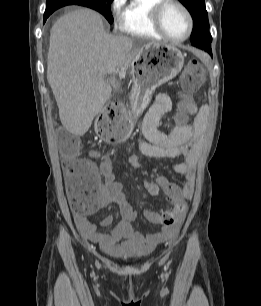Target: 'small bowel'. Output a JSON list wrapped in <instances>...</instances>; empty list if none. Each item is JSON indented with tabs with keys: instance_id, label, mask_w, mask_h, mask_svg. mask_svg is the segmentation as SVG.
<instances>
[{
	"instance_id": "small-bowel-1",
	"label": "small bowel",
	"mask_w": 261,
	"mask_h": 306,
	"mask_svg": "<svg viewBox=\"0 0 261 306\" xmlns=\"http://www.w3.org/2000/svg\"><path fill=\"white\" fill-rule=\"evenodd\" d=\"M175 100L176 97L171 93H160L155 97L153 105L139 122L142 134L138 142L139 154H131L128 163L134 169L142 168L140 155L152 159H182V162L174 165L175 172L183 176L180 184L170 182L164 177L144 183L150 195H157L162 191L168 200L181 202L190 199L193 194V168L205 144L204 118L207 109L198 108L193 101H186L184 107L191 116L190 122L174 126L170 132H163L159 129L160 120L172 110ZM83 163L88 162L77 157L65 159L64 172L68 175L71 167ZM114 164L112 157L101 160L102 180L97 181L94 204L89 211L96 212L110 204H116L120 210L121 221L110 233H104L98 230L96 223L88 219L87 212H76L75 221L84 238L97 244L104 253L111 256H122L130 252L146 253L158 243L173 239L178 233L184 213L178 215L173 225L163 227L158 233L143 236L133 227L137 213L127 202L122 183L116 180ZM144 215L151 223H157L161 216L151 211H145ZM113 220V216H107L100 225L109 227Z\"/></svg>"
}]
</instances>
